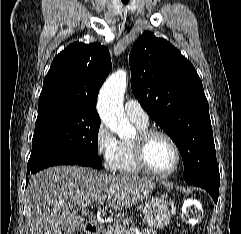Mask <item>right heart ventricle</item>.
Instances as JSON below:
<instances>
[{"mask_svg":"<svg viewBox=\"0 0 241 234\" xmlns=\"http://www.w3.org/2000/svg\"><path fill=\"white\" fill-rule=\"evenodd\" d=\"M139 131L147 129V125L136 124ZM116 171L124 175H139L143 172L135 157L134 140L119 141Z\"/></svg>","mask_w":241,"mask_h":234,"instance_id":"e07e8e85","label":"right heart ventricle"}]
</instances>
